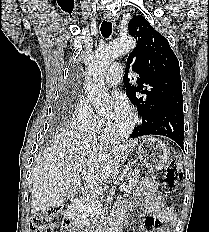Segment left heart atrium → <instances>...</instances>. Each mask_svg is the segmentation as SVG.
Here are the masks:
<instances>
[{"instance_id": "39dd6f15", "label": "left heart atrium", "mask_w": 209, "mask_h": 232, "mask_svg": "<svg viewBox=\"0 0 209 232\" xmlns=\"http://www.w3.org/2000/svg\"><path fill=\"white\" fill-rule=\"evenodd\" d=\"M113 102V117L117 118L128 113L129 105L127 100L120 94H115Z\"/></svg>"}]
</instances>
